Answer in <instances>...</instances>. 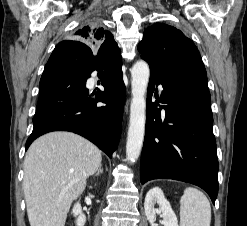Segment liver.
Returning a JSON list of instances; mask_svg holds the SVG:
<instances>
[{"instance_id":"6515ba94","label":"liver","mask_w":247,"mask_h":226,"mask_svg":"<svg viewBox=\"0 0 247 226\" xmlns=\"http://www.w3.org/2000/svg\"><path fill=\"white\" fill-rule=\"evenodd\" d=\"M101 151L83 137L52 132L36 139L24 160L23 189L30 226H64L86 179L101 165Z\"/></svg>"}]
</instances>
